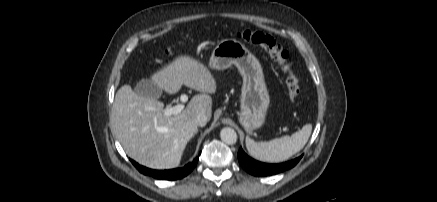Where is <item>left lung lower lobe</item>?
I'll return each instance as SVG.
<instances>
[{"mask_svg":"<svg viewBox=\"0 0 437 202\" xmlns=\"http://www.w3.org/2000/svg\"><path fill=\"white\" fill-rule=\"evenodd\" d=\"M301 157L302 156H300L294 160L284 162V163L267 164V163H262V162H259V161H256V160L250 158L243 151L242 148H240L238 151V160H239L240 165L242 166V168L244 170H246L248 173H250L254 176H269V175L277 174V173L283 172L285 170H288V169L294 167L299 162Z\"/></svg>","mask_w":437,"mask_h":202,"instance_id":"left-lung-lower-lobe-1","label":"left lung lower lobe"}]
</instances>
